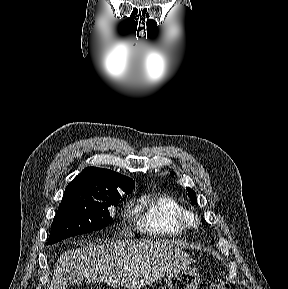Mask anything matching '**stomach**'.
I'll list each match as a JSON object with an SVG mask.
<instances>
[{
	"mask_svg": "<svg viewBox=\"0 0 288 289\" xmlns=\"http://www.w3.org/2000/svg\"><path fill=\"white\" fill-rule=\"evenodd\" d=\"M201 281L196 268L187 266L169 274V289H197Z\"/></svg>",
	"mask_w": 288,
	"mask_h": 289,
	"instance_id": "stomach-1",
	"label": "stomach"
}]
</instances>
